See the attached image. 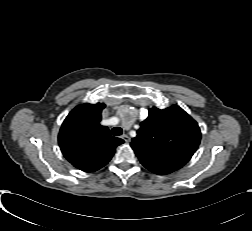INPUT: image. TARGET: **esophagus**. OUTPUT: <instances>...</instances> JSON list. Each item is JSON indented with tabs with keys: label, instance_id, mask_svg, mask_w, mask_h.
Returning a JSON list of instances; mask_svg holds the SVG:
<instances>
[{
	"label": "esophagus",
	"instance_id": "34e87169",
	"mask_svg": "<svg viewBox=\"0 0 252 231\" xmlns=\"http://www.w3.org/2000/svg\"><path fill=\"white\" fill-rule=\"evenodd\" d=\"M122 139L127 143L130 142V137L127 134H123Z\"/></svg>",
	"mask_w": 252,
	"mask_h": 231
}]
</instances>
